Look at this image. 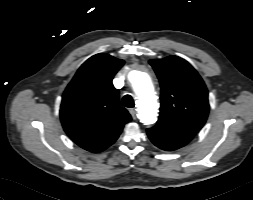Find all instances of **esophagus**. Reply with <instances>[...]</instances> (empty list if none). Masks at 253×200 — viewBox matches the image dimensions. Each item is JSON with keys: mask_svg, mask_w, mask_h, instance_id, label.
I'll return each instance as SVG.
<instances>
[{"mask_svg": "<svg viewBox=\"0 0 253 200\" xmlns=\"http://www.w3.org/2000/svg\"><path fill=\"white\" fill-rule=\"evenodd\" d=\"M129 112H130V114H131V116H132L133 119L137 118V112H136L135 109H130Z\"/></svg>", "mask_w": 253, "mask_h": 200, "instance_id": "34e87169", "label": "esophagus"}]
</instances>
